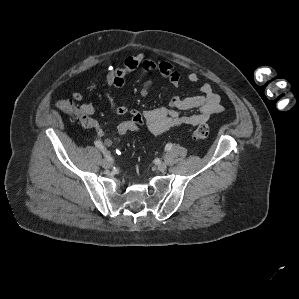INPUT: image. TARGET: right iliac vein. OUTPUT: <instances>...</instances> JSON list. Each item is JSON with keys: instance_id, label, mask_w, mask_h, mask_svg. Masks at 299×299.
<instances>
[{"instance_id": "obj_1", "label": "right iliac vein", "mask_w": 299, "mask_h": 299, "mask_svg": "<svg viewBox=\"0 0 299 299\" xmlns=\"http://www.w3.org/2000/svg\"><path fill=\"white\" fill-rule=\"evenodd\" d=\"M101 165L105 168V169H108L112 166L111 162L107 159V158H104L102 159L101 161Z\"/></svg>"}]
</instances>
